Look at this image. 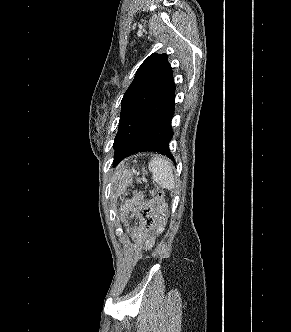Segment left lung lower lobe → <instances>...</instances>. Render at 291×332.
<instances>
[{"label":"left lung lower lobe","instance_id":"left-lung-lower-lobe-1","mask_svg":"<svg viewBox=\"0 0 291 332\" xmlns=\"http://www.w3.org/2000/svg\"><path fill=\"white\" fill-rule=\"evenodd\" d=\"M174 111L175 84L172 78L163 91L147 103L131 138L115 152L113 164L116 166L123 158L142 151L160 152L174 160L169 149Z\"/></svg>","mask_w":291,"mask_h":332}]
</instances>
